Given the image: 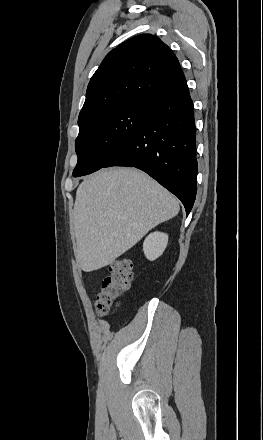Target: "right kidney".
I'll return each mask as SVG.
<instances>
[{
    "label": "right kidney",
    "mask_w": 263,
    "mask_h": 440,
    "mask_svg": "<svg viewBox=\"0 0 263 440\" xmlns=\"http://www.w3.org/2000/svg\"><path fill=\"white\" fill-rule=\"evenodd\" d=\"M168 244V235L161 232H154L148 235L143 243V251L150 261L162 255Z\"/></svg>",
    "instance_id": "obj_1"
}]
</instances>
